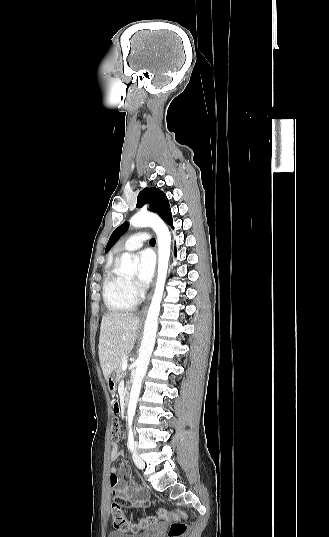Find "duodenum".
I'll use <instances>...</instances> for the list:
<instances>
[{"label": "duodenum", "instance_id": "1", "mask_svg": "<svg viewBox=\"0 0 329 537\" xmlns=\"http://www.w3.org/2000/svg\"><path fill=\"white\" fill-rule=\"evenodd\" d=\"M129 398V390L125 393V401H128Z\"/></svg>", "mask_w": 329, "mask_h": 537}]
</instances>
